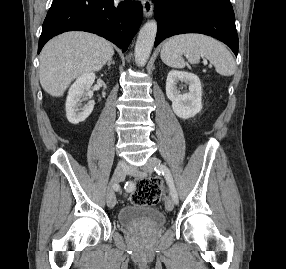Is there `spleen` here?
<instances>
[{"mask_svg": "<svg viewBox=\"0 0 286 269\" xmlns=\"http://www.w3.org/2000/svg\"><path fill=\"white\" fill-rule=\"evenodd\" d=\"M185 55L190 63H199L200 57L206 58L215 66L216 72L223 76L233 75L235 61L228 49L212 37L201 34H182L169 38L162 50L161 60L173 68H184Z\"/></svg>", "mask_w": 286, "mask_h": 269, "instance_id": "1", "label": "spleen"}]
</instances>
